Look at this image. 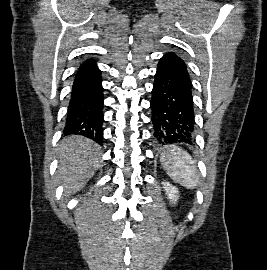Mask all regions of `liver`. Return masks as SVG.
Segmentation results:
<instances>
[{
  "instance_id": "liver-1",
  "label": "liver",
  "mask_w": 267,
  "mask_h": 270,
  "mask_svg": "<svg viewBox=\"0 0 267 270\" xmlns=\"http://www.w3.org/2000/svg\"><path fill=\"white\" fill-rule=\"evenodd\" d=\"M100 152V146L81 136L62 140L57 177L66 194L78 192L94 175L100 163Z\"/></svg>"
}]
</instances>
